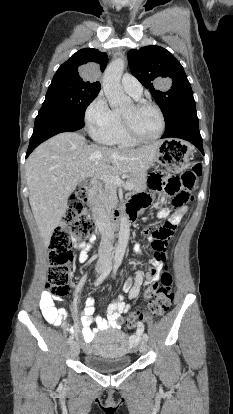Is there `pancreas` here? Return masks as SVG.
<instances>
[{
	"mask_svg": "<svg viewBox=\"0 0 233 414\" xmlns=\"http://www.w3.org/2000/svg\"><path fill=\"white\" fill-rule=\"evenodd\" d=\"M127 182L133 184L132 191L136 192L145 188V176L142 173H131ZM117 187L106 184L103 191V200L107 208H113L117 204Z\"/></svg>",
	"mask_w": 233,
	"mask_h": 414,
	"instance_id": "1",
	"label": "pancreas"
}]
</instances>
